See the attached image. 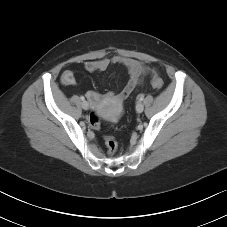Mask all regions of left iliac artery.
Listing matches in <instances>:
<instances>
[{
  "mask_svg": "<svg viewBox=\"0 0 227 227\" xmlns=\"http://www.w3.org/2000/svg\"><path fill=\"white\" fill-rule=\"evenodd\" d=\"M143 99H144V96L143 95H140L139 100L142 101Z\"/></svg>",
  "mask_w": 227,
  "mask_h": 227,
  "instance_id": "44dca946",
  "label": "left iliac artery"
}]
</instances>
